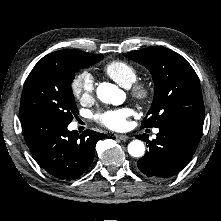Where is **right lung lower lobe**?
<instances>
[{
    "mask_svg": "<svg viewBox=\"0 0 221 221\" xmlns=\"http://www.w3.org/2000/svg\"><path fill=\"white\" fill-rule=\"evenodd\" d=\"M20 120L35 160L49 174L68 181L81 176L90 166L96 143L106 137L92 130L79 135L68 131L69 123L39 113L20 115Z\"/></svg>",
    "mask_w": 221,
    "mask_h": 221,
    "instance_id": "98d812e1",
    "label": "right lung lower lobe"
}]
</instances>
